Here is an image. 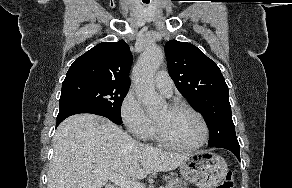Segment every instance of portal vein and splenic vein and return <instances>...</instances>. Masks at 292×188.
Listing matches in <instances>:
<instances>
[{
  "label": "portal vein and splenic vein",
  "mask_w": 292,
  "mask_h": 188,
  "mask_svg": "<svg viewBox=\"0 0 292 188\" xmlns=\"http://www.w3.org/2000/svg\"><path fill=\"white\" fill-rule=\"evenodd\" d=\"M92 172L97 175L105 176L107 179L112 181L114 184H116L120 188H144V185L142 183L132 181L126 177L119 176L110 171H101L99 169H94ZM160 188H165V187L160 186Z\"/></svg>",
  "instance_id": "18ae733b"
}]
</instances>
